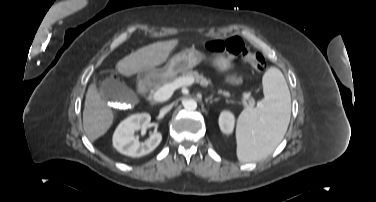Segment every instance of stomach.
<instances>
[{
	"label": "stomach",
	"instance_id": "0dacf381",
	"mask_svg": "<svg viewBox=\"0 0 376 202\" xmlns=\"http://www.w3.org/2000/svg\"><path fill=\"white\" fill-rule=\"evenodd\" d=\"M205 56L195 48H187L174 55L161 69L147 68L139 72V76L145 79H159L169 77L174 79L178 74L183 73L199 64ZM210 62L218 71L224 72L231 66V59L223 55L211 57Z\"/></svg>",
	"mask_w": 376,
	"mask_h": 202
}]
</instances>
